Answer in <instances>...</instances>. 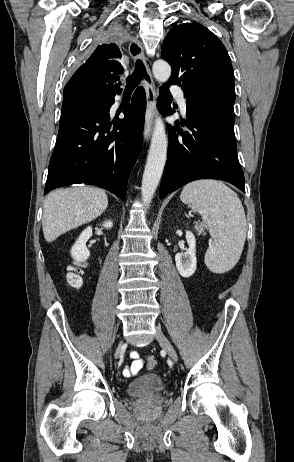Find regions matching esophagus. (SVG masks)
I'll list each match as a JSON object with an SVG mask.
<instances>
[{
    "label": "esophagus",
    "mask_w": 294,
    "mask_h": 462,
    "mask_svg": "<svg viewBox=\"0 0 294 462\" xmlns=\"http://www.w3.org/2000/svg\"><path fill=\"white\" fill-rule=\"evenodd\" d=\"M129 54L134 62L142 60L145 63L144 48L141 41L135 39L129 45ZM150 81L144 80L143 85L146 91V112H145V125L144 137L146 140L150 138L153 128V121L156 113V91L154 89L153 80L149 70L147 69Z\"/></svg>",
    "instance_id": "1"
}]
</instances>
